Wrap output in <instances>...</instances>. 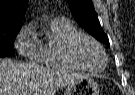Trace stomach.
<instances>
[{
  "instance_id": "stomach-1",
  "label": "stomach",
  "mask_w": 135,
  "mask_h": 95,
  "mask_svg": "<svg viewBox=\"0 0 135 95\" xmlns=\"http://www.w3.org/2000/svg\"><path fill=\"white\" fill-rule=\"evenodd\" d=\"M98 83L90 78L85 77L68 85L65 95H100Z\"/></svg>"
}]
</instances>
